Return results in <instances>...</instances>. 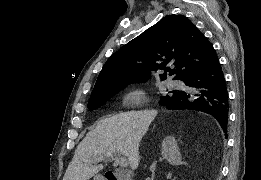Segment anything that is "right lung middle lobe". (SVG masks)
<instances>
[{
  "label": "right lung middle lobe",
  "mask_w": 261,
  "mask_h": 180,
  "mask_svg": "<svg viewBox=\"0 0 261 180\" xmlns=\"http://www.w3.org/2000/svg\"><path fill=\"white\" fill-rule=\"evenodd\" d=\"M119 91H116V92H113V93H110V94H107V95H103V96H99V97H95V98H92L89 100V103H88V108L90 110H94L100 106H102L104 103H106V101H108L110 98H112L116 93H118ZM171 93L175 94L176 91H172ZM171 96L167 95V96H161V100H160V103L162 101H165L167 99H169Z\"/></svg>",
  "instance_id": "1"
}]
</instances>
